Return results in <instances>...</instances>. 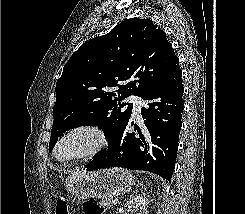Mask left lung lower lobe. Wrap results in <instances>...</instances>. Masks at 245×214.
Returning a JSON list of instances; mask_svg holds the SVG:
<instances>
[{
	"label": "left lung lower lobe",
	"mask_w": 245,
	"mask_h": 214,
	"mask_svg": "<svg viewBox=\"0 0 245 214\" xmlns=\"http://www.w3.org/2000/svg\"><path fill=\"white\" fill-rule=\"evenodd\" d=\"M182 71L179 63L151 91L141 98L148 101L141 108L142 130L127 131L123 126L108 150L95 155L87 171L123 167L153 172L170 181L175 167L181 116L184 110Z\"/></svg>",
	"instance_id": "1"
}]
</instances>
